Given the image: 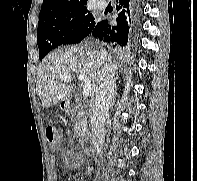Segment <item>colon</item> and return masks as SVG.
<instances>
[{
	"instance_id": "obj_1",
	"label": "colon",
	"mask_w": 197,
	"mask_h": 181,
	"mask_svg": "<svg viewBox=\"0 0 197 181\" xmlns=\"http://www.w3.org/2000/svg\"><path fill=\"white\" fill-rule=\"evenodd\" d=\"M45 135L49 146L56 150L61 143V137L59 136L56 128L53 126H48L45 130Z\"/></svg>"
}]
</instances>
